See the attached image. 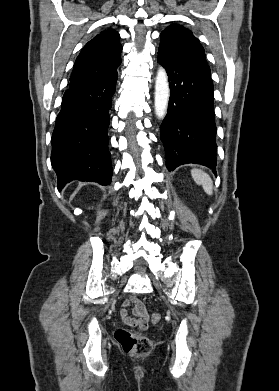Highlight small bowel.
<instances>
[{
  "instance_id": "small-bowel-1",
  "label": "small bowel",
  "mask_w": 279,
  "mask_h": 391,
  "mask_svg": "<svg viewBox=\"0 0 279 391\" xmlns=\"http://www.w3.org/2000/svg\"><path fill=\"white\" fill-rule=\"evenodd\" d=\"M131 304L134 305L133 314L134 317L128 315L126 308ZM121 319L125 324L131 327H139L141 329L148 328L149 315L146 311L144 304L136 297L126 299L122 303V309L119 312Z\"/></svg>"
}]
</instances>
